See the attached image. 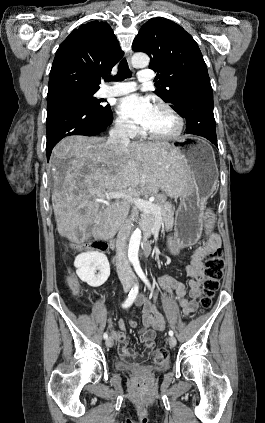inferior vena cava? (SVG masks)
<instances>
[{
    "label": "inferior vena cava",
    "mask_w": 265,
    "mask_h": 423,
    "mask_svg": "<svg viewBox=\"0 0 265 423\" xmlns=\"http://www.w3.org/2000/svg\"><path fill=\"white\" fill-rule=\"evenodd\" d=\"M108 143L115 145L128 146L130 139L128 137V125L124 122H117L109 131ZM131 232L130 221H126L120 227L116 239V269L120 280L132 279L133 272L127 259V240Z\"/></svg>",
    "instance_id": "inferior-vena-cava-1"
}]
</instances>
